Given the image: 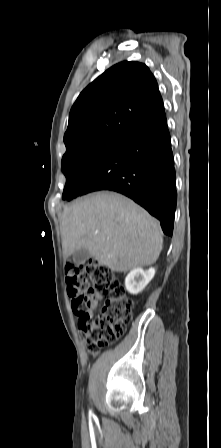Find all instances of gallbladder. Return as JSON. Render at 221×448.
Here are the masks:
<instances>
[{
	"instance_id": "1",
	"label": "gallbladder",
	"mask_w": 221,
	"mask_h": 448,
	"mask_svg": "<svg viewBox=\"0 0 221 448\" xmlns=\"http://www.w3.org/2000/svg\"><path fill=\"white\" fill-rule=\"evenodd\" d=\"M90 254L88 250L82 248L74 252L73 261L76 265L84 264L85 261L89 258Z\"/></svg>"
}]
</instances>
